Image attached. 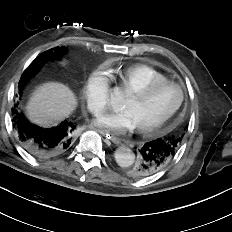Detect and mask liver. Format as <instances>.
Wrapping results in <instances>:
<instances>
[{
    "label": "liver",
    "instance_id": "obj_1",
    "mask_svg": "<svg viewBox=\"0 0 232 232\" xmlns=\"http://www.w3.org/2000/svg\"><path fill=\"white\" fill-rule=\"evenodd\" d=\"M76 105V97L67 86L49 82L35 90L26 113L32 122L46 126L66 118Z\"/></svg>",
    "mask_w": 232,
    "mask_h": 232
}]
</instances>
